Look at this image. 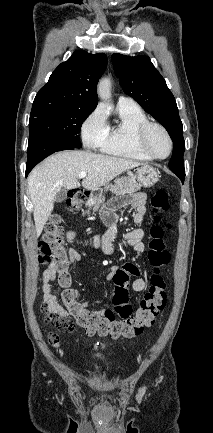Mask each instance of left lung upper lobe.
<instances>
[{
	"label": "left lung upper lobe",
	"mask_w": 213,
	"mask_h": 433,
	"mask_svg": "<svg viewBox=\"0 0 213 433\" xmlns=\"http://www.w3.org/2000/svg\"><path fill=\"white\" fill-rule=\"evenodd\" d=\"M111 60L123 91L160 122L171 136L174 148L169 162L170 170L176 175H185L183 126L175 98L164 78L147 56L129 57L115 53Z\"/></svg>",
	"instance_id": "1"
}]
</instances>
